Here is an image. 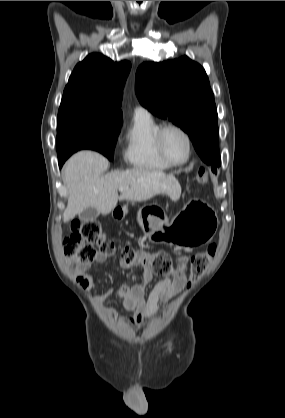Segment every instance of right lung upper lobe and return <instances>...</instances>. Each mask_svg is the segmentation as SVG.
Returning a JSON list of instances; mask_svg holds the SVG:
<instances>
[{
  "instance_id": "obj_1",
  "label": "right lung upper lobe",
  "mask_w": 285,
  "mask_h": 418,
  "mask_svg": "<svg viewBox=\"0 0 285 418\" xmlns=\"http://www.w3.org/2000/svg\"><path fill=\"white\" fill-rule=\"evenodd\" d=\"M131 63L93 53L74 68L59 110L92 112L122 121V90Z\"/></svg>"
}]
</instances>
